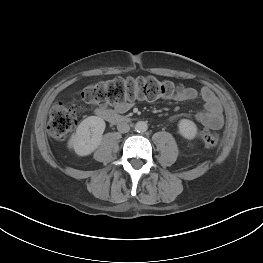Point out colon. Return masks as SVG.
Instances as JSON below:
<instances>
[{
    "label": "colon",
    "instance_id": "1",
    "mask_svg": "<svg viewBox=\"0 0 263 263\" xmlns=\"http://www.w3.org/2000/svg\"><path fill=\"white\" fill-rule=\"evenodd\" d=\"M181 85L169 80H158L154 77L116 78L87 86L82 92V99L89 104L121 105L134 100L154 101L159 98L178 97L182 92ZM79 110L73 105L57 104L53 106L49 122V134L56 139H63L77 125ZM201 141L214 147L219 143L218 133L202 128L199 132Z\"/></svg>",
    "mask_w": 263,
    "mask_h": 263
}]
</instances>
